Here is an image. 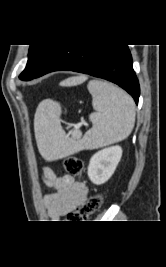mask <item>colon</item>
Segmentation results:
<instances>
[{
	"label": "colon",
	"instance_id": "obj_1",
	"mask_svg": "<svg viewBox=\"0 0 166 267\" xmlns=\"http://www.w3.org/2000/svg\"><path fill=\"white\" fill-rule=\"evenodd\" d=\"M64 168L69 175L80 177L83 173L84 164L77 157H68L64 160ZM102 202L103 198L101 195L90 196L83 205L68 214V222H83L101 207Z\"/></svg>",
	"mask_w": 166,
	"mask_h": 267
}]
</instances>
